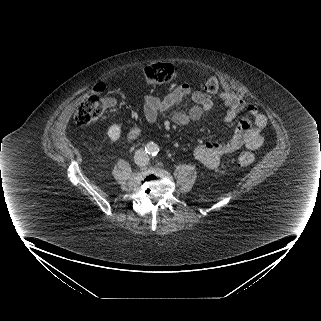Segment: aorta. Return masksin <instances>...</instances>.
Returning <instances> with one entry per match:
<instances>
[{"label": "aorta", "mask_w": 321, "mask_h": 321, "mask_svg": "<svg viewBox=\"0 0 321 321\" xmlns=\"http://www.w3.org/2000/svg\"><path fill=\"white\" fill-rule=\"evenodd\" d=\"M147 152L151 155H156L159 152V146L156 143H149L147 145Z\"/></svg>", "instance_id": "1"}]
</instances>
